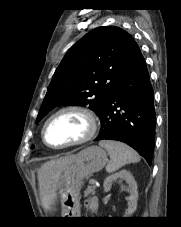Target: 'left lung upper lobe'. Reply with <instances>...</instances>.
Listing matches in <instances>:
<instances>
[{
  "mask_svg": "<svg viewBox=\"0 0 181 227\" xmlns=\"http://www.w3.org/2000/svg\"><path fill=\"white\" fill-rule=\"evenodd\" d=\"M139 47L116 26L91 30L65 54L56 69L36 123L58 105H89L99 117Z\"/></svg>",
  "mask_w": 181,
  "mask_h": 227,
  "instance_id": "1",
  "label": "left lung upper lobe"
}]
</instances>
